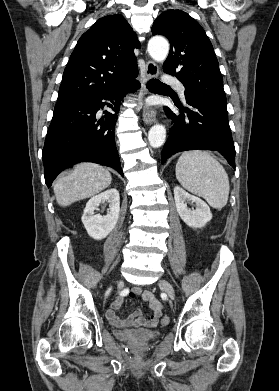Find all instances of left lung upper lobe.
Here are the masks:
<instances>
[{
	"label": "left lung upper lobe",
	"instance_id": "5c2ea615",
	"mask_svg": "<svg viewBox=\"0 0 279 391\" xmlns=\"http://www.w3.org/2000/svg\"><path fill=\"white\" fill-rule=\"evenodd\" d=\"M152 34L169 39L170 52L163 70L184 84L185 96L199 97L227 109L219 64L199 23L184 11L169 10L154 21Z\"/></svg>",
	"mask_w": 279,
	"mask_h": 391
}]
</instances>
